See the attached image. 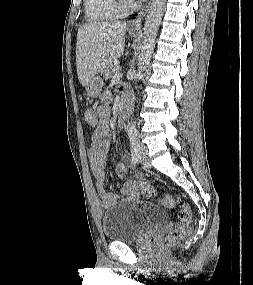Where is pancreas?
<instances>
[{
	"mask_svg": "<svg viewBox=\"0 0 253 285\" xmlns=\"http://www.w3.org/2000/svg\"><path fill=\"white\" fill-rule=\"evenodd\" d=\"M120 70L121 68L117 64L115 63L110 64L109 66L106 67L104 72L105 80L113 78V76L116 73L120 72Z\"/></svg>",
	"mask_w": 253,
	"mask_h": 285,
	"instance_id": "pancreas-1",
	"label": "pancreas"
}]
</instances>
